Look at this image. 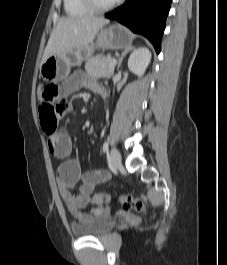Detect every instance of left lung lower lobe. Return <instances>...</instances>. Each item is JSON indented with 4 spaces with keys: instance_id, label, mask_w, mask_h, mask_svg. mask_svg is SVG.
Listing matches in <instances>:
<instances>
[{
    "instance_id": "left-lung-lower-lobe-1",
    "label": "left lung lower lobe",
    "mask_w": 227,
    "mask_h": 265,
    "mask_svg": "<svg viewBox=\"0 0 227 265\" xmlns=\"http://www.w3.org/2000/svg\"><path fill=\"white\" fill-rule=\"evenodd\" d=\"M172 0H127L105 16L129 27L133 32L148 38L157 53Z\"/></svg>"
}]
</instances>
